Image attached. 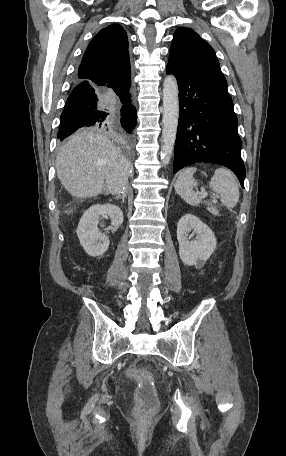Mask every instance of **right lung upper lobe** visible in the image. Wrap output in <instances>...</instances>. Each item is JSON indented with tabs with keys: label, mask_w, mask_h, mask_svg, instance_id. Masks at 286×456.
<instances>
[{
	"label": "right lung upper lobe",
	"mask_w": 286,
	"mask_h": 456,
	"mask_svg": "<svg viewBox=\"0 0 286 456\" xmlns=\"http://www.w3.org/2000/svg\"><path fill=\"white\" fill-rule=\"evenodd\" d=\"M128 39L126 31L118 24L102 29L89 43L77 76L98 82L130 77Z\"/></svg>",
	"instance_id": "1"
}]
</instances>
